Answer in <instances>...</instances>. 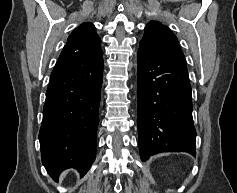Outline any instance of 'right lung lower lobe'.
Here are the masks:
<instances>
[{
    "label": "right lung lower lobe",
    "instance_id": "98d812e1",
    "mask_svg": "<svg viewBox=\"0 0 237 193\" xmlns=\"http://www.w3.org/2000/svg\"><path fill=\"white\" fill-rule=\"evenodd\" d=\"M102 74L103 53L63 51L51 73L39 140L42 163L55 180L71 167L83 177L95 160Z\"/></svg>",
    "mask_w": 237,
    "mask_h": 193
}]
</instances>
